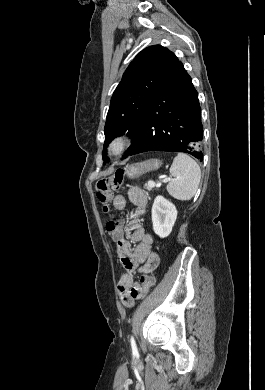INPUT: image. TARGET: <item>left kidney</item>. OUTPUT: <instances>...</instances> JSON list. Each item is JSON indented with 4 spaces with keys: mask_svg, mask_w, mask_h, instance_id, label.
I'll use <instances>...</instances> for the list:
<instances>
[{
    "mask_svg": "<svg viewBox=\"0 0 265 390\" xmlns=\"http://www.w3.org/2000/svg\"><path fill=\"white\" fill-rule=\"evenodd\" d=\"M176 218L175 205L163 196H157L152 206V223L155 234L160 238L169 236Z\"/></svg>",
    "mask_w": 265,
    "mask_h": 390,
    "instance_id": "obj_1",
    "label": "left kidney"
}]
</instances>
